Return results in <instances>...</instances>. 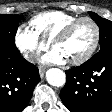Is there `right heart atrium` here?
<instances>
[{"mask_svg":"<svg viewBox=\"0 0 112 112\" xmlns=\"http://www.w3.org/2000/svg\"><path fill=\"white\" fill-rule=\"evenodd\" d=\"M14 42L24 59L33 62L47 50L49 43L39 37L31 27L21 25L16 29Z\"/></svg>","mask_w":112,"mask_h":112,"instance_id":"1","label":"right heart atrium"}]
</instances>
